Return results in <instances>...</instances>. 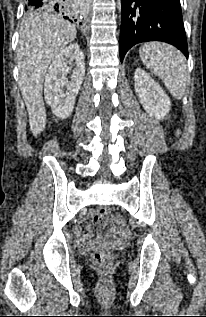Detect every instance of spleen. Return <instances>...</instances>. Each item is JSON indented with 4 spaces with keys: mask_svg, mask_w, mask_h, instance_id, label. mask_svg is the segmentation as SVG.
<instances>
[{
    "mask_svg": "<svg viewBox=\"0 0 206 317\" xmlns=\"http://www.w3.org/2000/svg\"><path fill=\"white\" fill-rule=\"evenodd\" d=\"M141 60L156 73L172 96L181 99L188 81V70L183 54L171 45L146 43L139 49Z\"/></svg>",
    "mask_w": 206,
    "mask_h": 317,
    "instance_id": "obj_1",
    "label": "spleen"
}]
</instances>
